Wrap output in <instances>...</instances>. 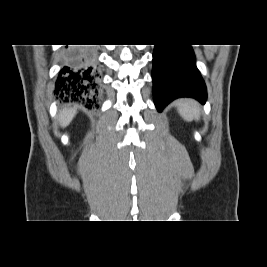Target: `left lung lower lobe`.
Listing matches in <instances>:
<instances>
[{
    "mask_svg": "<svg viewBox=\"0 0 267 267\" xmlns=\"http://www.w3.org/2000/svg\"><path fill=\"white\" fill-rule=\"evenodd\" d=\"M152 79L158 111L179 97H192L202 104L207 99L206 86L190 45H155Z\"/></svg>",
    "mask_w": 267,
    "mask_h": 267,
    "instance_id": "1",
    "label": "left lung lower lobe"
}]
</instances>
